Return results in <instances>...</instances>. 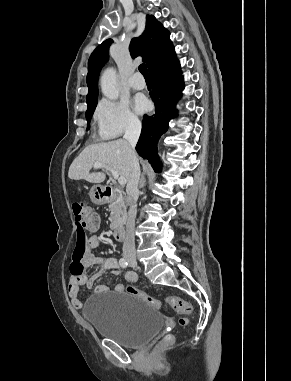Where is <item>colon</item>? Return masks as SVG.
Listing matches in <instances>:
<instances>
[{
	"mask_svg": "<svg viewBox=\"0 0 291 381\" xmlns=\"http://www.w3.org/2000/svg\"><path fill=\"white\" fill-rule=\"evenodd\" d=\"M73 214L75 217V222L77 225V245L73 253V260L76 263V268L81 269L80 261L84 255V246H85V232H95L99 228V217L92 213L89 207L84 202H77L73 204ZM126 292L132 295H135L154 308H160V302L154 297L132 287L128 286ZM166 303H168L176 312L181 314L179 323L182 326H185L188 323L189 316L193 313V307L182 298L177 296H167L165 298ZM172 341V336L167 335L163 339L164 344H168Z\"/></svg>",
	"mask_w": 291,
	"mask_h": 381,
	"instance_id": "obj_1",
	"label": "colon"
}]
</instances>
